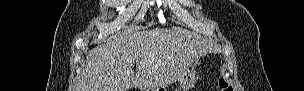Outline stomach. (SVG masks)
<instances>
[{
    "label": "stomach",
    "instance_id": "0dacf381",
    "mask_svg": "<svg viewBox=\"0 0 304 91\" xmlns=\"http://www.w3.org/2000/svg\"><path fill=\"white\" fill-rule=\"evenodd\" d=\"M199 66V60H196V62L191 66V68H188L178 79V83L180 84V87L182 91H188L189 89L193 88V86L196 83L197 80V67ZM156 91H166L165 87H159L156 89Z\"/></svg>",
    "mask_w": 304,
    "mask_h": 91
}]
</instances>
